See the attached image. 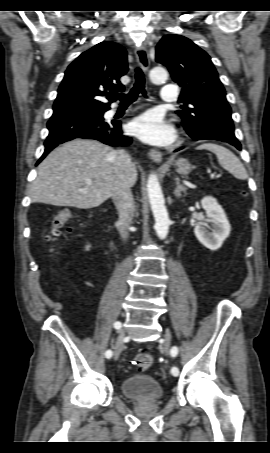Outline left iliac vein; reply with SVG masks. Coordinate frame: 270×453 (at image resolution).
Instances as JSON below:
<instances>
[{
  "label": "left iliac vein",
  "mask_w": 270,
  "mask_h": 453,
  "mask_svg": "<svg viewBox=\"0 0 270 453\" xmlns=\"http://www.w3.org/2000/svg\"><path fill=\"white\" fill-rule=\"evenodd\" d=\"M170 347H171V332L169 329H167L164 336V350L167 355H169Z\"/></svg>",
  "instance_id": "1"
}]
</instances>
